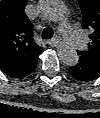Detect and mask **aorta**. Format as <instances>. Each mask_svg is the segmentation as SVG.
<instances>
[{
    "instance_id": "1",
    "label": "aorta",
    "mask_w": 100,
    "mask_h": 118,
    "mask_svg": "<svg viewBox=\"0 0 100 118\" xmlns=\"http://www.w3.org/2000/svg\"><path fill=\"white\" fill-rule=\"evenodd\" d=\"M40 12L46 18L59 20L64 15V7L61 0H40ZM57 52L61 62L67 66H73L78 61L75 48L68 43H61Z\"/></svg>"
}]
</instances>
